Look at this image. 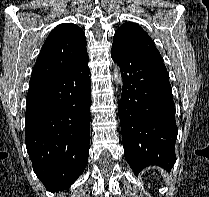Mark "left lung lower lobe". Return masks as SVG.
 Wrapping results in <instances>:
<instances>
[{
    "label": "left lung lower lobe",
    "instance_id": "1",
    "mask_svg": "<svg viewBox=\"0 0 209 197\" xmlns=\"http://www.w3.org/2000/svg\"><path fill=\"white\" fill-rule=\"evenodd\" d=\"M111 56L122 71L118 102L124 155L134 173L157 165L171 171L178 128L167 69L155 58L112 46Z\"/></svg>",
    "mask_w": 209,
    "mask_h": 197
}]
</instances>
